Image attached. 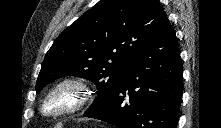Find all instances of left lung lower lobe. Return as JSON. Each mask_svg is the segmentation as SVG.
<instances>
[{
    "label": "left lung lower lobe",
    "instance_id": "obj_1",
    "mask_svg": "<svg viewBox=\"0 0 221 128\" xmlns=\"http://www.w3.org/2000/svg\"><path fill=\"white\" fill-rule=\"evenodd\" d=\"M182 73L175 31L167 21L134 59L114 94L84 116L119 128H176Z\"/></svg>",
    "mask_w": 221,
    "mask_h": 128
}]
</instances>
